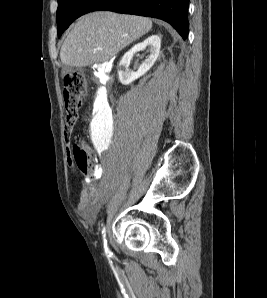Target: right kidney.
<instances>
[{
    "label": "right kidney",
    "mask_w": 267,
    "mask_h": 298,
    "mask_svg": "<svg viewBox=\"0 0 267 298\" xmlns=\"http://www.w3.org/2000/svg\"><path fill=\"white\" fill-rule=\"evenodd\" d=\"M146 47H149L150 55L148 58L141 64L137 72L129 70L130 61L133 58L134 54L138 51L144 50ZM161 47V39L158 35H151L143 42L136 44L132 47L127 53L124 54L120 63H119V80L123 85H128L134 80L143 76L150 68L154 65L157 60Z\"/></svg>",
    "instance_id": "1"
}]
</instances>
